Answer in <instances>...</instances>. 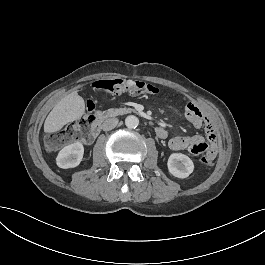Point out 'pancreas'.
<instances>
[{
  "instance_id": "cf45deb5",
  "label": "pancreas",
  "mask_w": 265,
  "mask_h": 265,
  "mask_svg": "<svg viewBox=\"0 0 265 265\" xmlns=\"http://www.w3.org/2000/svg\"><path fill=\"white\" fill-rule=\"evenodd\" d=\"M131 112H136L135 109L132 108H110L107 111H105V116L106 117H115L117 115L121 114H127Z\"/></svg>"
}]
</instances>
